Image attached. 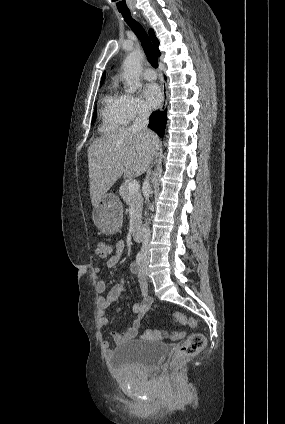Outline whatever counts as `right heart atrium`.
Returning <instances> with one entry per match:
<instances>
[{"instance_id":"obj_1","label":"right heart atrium","mask_w":285,"mask_h":424,"mask_svg":"<svg viewBox=\"0 0 285 424\" xmlns=\"http://www.w3.org/2000/svg\"><path fill=\"white\" fill-rule=\"evenodd\" d=\"M124 109L127 122L146 116L150 112L146 102L136 95H124Z\"/></svg>"}]
</instances>
